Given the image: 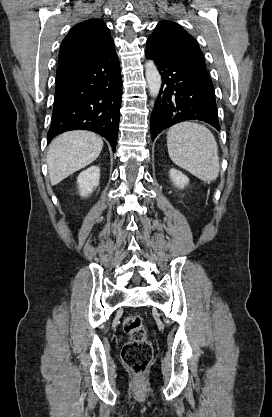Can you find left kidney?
<instances>
[{
	"instance_id": "1",
	"label": "left kidney",
	"mask_w": 272,
	"mask_h": 417,
	"mask_svg": "<svg viewBox=\"0 0 272 417\" xmlns=\"http://www.w3.org/2000/svg\"><path fill=\"white\" fill-rule=\"evenodd\" d=\"M169 176L173 184L180 189H183L189 183V178L176 169H170Z\"/></svg>"
}]
</instances>
